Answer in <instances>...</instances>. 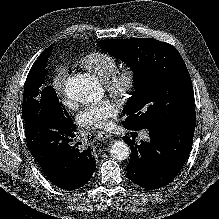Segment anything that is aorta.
<instances>
[{"instance_id":"762f6f07","label":"aorta","mask_w":219,"mask_h":219,"mask_svg":"<svg viewBox=\"0 0 219 219\" xmlns=\"http://www.w3.org/2000/svg\"><path fill=\"white\" fill-rule=\"evenodd\" d=\"M65 92L74 101L91 102L98 99L100 88L91 76L78 74L68 78ZM110 152L114 159L123 161L129 158L130 147L124 141H114L110 146Z\"/></svg>"}]
</instances>
